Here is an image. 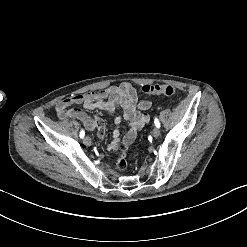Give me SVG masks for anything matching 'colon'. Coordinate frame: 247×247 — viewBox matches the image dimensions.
I'll return each mask as SVG.
<instances>
[{
	"instance_id": "5ec220e1",
	"label": "colon",
	"mask_w": 247,
	"mask_h": 247,
	"mask_svg": "<svg viewBox=\"0 0 247 247\" xmlns=\"http://www.w3.org/2000/svg\"><path fill=\"white\" fill-rule=\"evenodd\" d=\"M141 92L145 95L179 96L177 88L169 84H145L141 87Z\"/></svg>"
}]
</instances>
